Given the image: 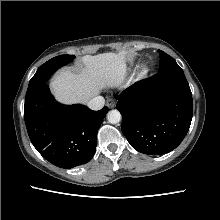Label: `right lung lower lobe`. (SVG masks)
Masks as SVG:
<instances>
[{"label":"right lung lower lobe","instance_id":"1","mask_svg":"<svg viewBox=\"0 0 220 220\" xmlns=\"http://www.w3.org/2000/svg\"><path fill=\"white\" fill-rule=\"evenodd\" d=\"M107 112V107L92 111L81 104H59L47 84L25 97L24 118L32 144L46 160L61 168L91 160L97 131Z\"/></svg>","mask_w":220,"mask_h":220}]
</instances>
